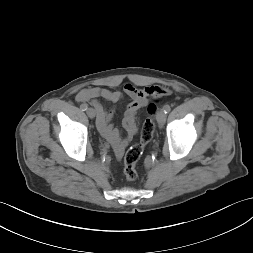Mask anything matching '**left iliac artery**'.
I'll use <instances>...</instances> for the list:
<instances>
[{
  "mask_svg": "<svg viewBox=\"0 0 253 253\" xmlns=\"http://www.w3.org/2000/svg\"><path fill=\"white\" fill-rule=\"evenodd\" d=\"M163 110H164L165 113H168V112H170L171 107H170L169 105H165V106L163 107Z\"/></svg>",
  "mask_w": 253,
  "mask_h": 253,
  "instance_id": "left-iliac-artery-1",
  "label": "left iliac artery"
}]
</instances>
